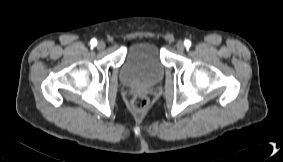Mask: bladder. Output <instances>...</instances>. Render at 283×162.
<instances>
[{"label": "bladder", "mask_w": 283, "mask_h": 162, "mask_svg": "<svg viewBox=\"0 0 283 162\" xmlns=\"http://www.w3.org/2000/svg\"><path fill=\"white\" fill-rule=\"evenodd\" d=\"M165 72L159 46L151 40L131 44L120 68V80L126 85H153Z\"/></svg>", "instance_id": "1"}]
</instances>
